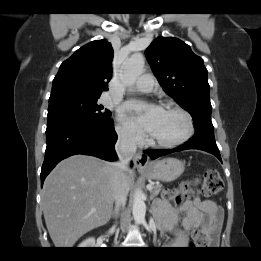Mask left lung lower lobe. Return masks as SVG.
<instances>
[{
  "label": "left lung lower lobe",
  "instance_id": "obj_1",
  "mask_svg": "<svg viewBox=\"0 0 261 261\" xmlns=\"http://www.w3.org/2000/svg\"><path fill=\"white\" fill-rule=\"evenodd\" d=\"M187 149H198L206 151L216 156L222 162L219 149L215 142L214 130L196 131L194 136L189 141L171 150H145L144 153L147 154L151 159H156L163 155Z\"/></svg>",
  "mask_w": 261,
  "mask_h": 261
}]
</instances>
